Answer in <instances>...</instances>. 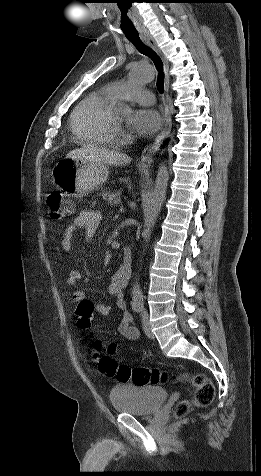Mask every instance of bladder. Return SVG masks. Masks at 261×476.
<instances>
[{"label":"bladder","mask_w":261,"mask_h":476,"mask_svg":"<svg viewBox=\"0 0 261 476\" xmlns=\"http://www.w3.org/2000/svg\"><path fill=\"white\" fill-rule=\"evenodd\" d=\"M167 392L161 386L120 384L112 388L110 400L114 409L133 416H149L161 408Z\"/></svg>","instance_id":"31cf9c89"}]
</instances>
